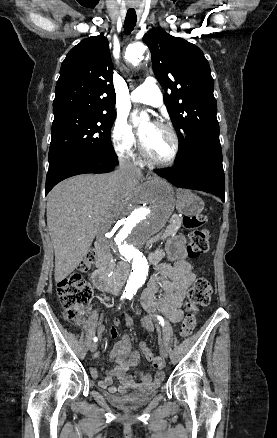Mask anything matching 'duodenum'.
<instances>
[{"mask_svg":"<svg viewBox=\"0 0 277 438\" xmlns=\"http://www.w3.org/2000/svg\"><path fill=\"white\" fill-rule=\"evenodd\" d=\"M95 249L98 253V258L96 261V270L92 275L93 285L103 292H118L119 284L109 267L104 245L101 242H96ZM149 260L152 264H157L160 260V256L157 252L151 253ZM127 269L128 264L126 262L119 264V272L121 274L125 273Z\"/></svg>","mask_w":277,"mask_h":438,"instance_id":"1","label":"duodenum"}]
</instances>
